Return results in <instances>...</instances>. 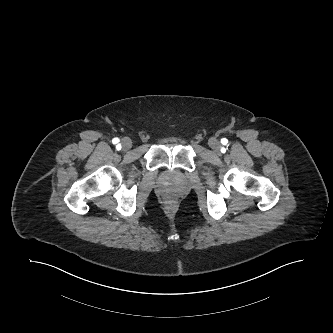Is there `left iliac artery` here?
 <instances>
[{
  "instance_id": "44dca946",
  "label": "left iliac artery",
  "mask_w": 333,
  "mask_h": 333,
  "mask_svg": "<svg viewBox=\"0 0 333 333\" xmlns=\"http://www.w3.org/2000/svg\"><path fill=\"white\" fill-rule=\"evenodd\" d=\"M227 143V139L226 138H223L222 139V144H226Z\"/></svg>"
}]
</instances>
